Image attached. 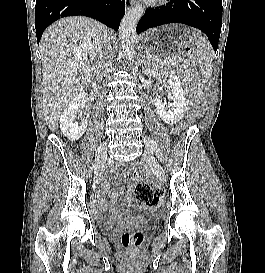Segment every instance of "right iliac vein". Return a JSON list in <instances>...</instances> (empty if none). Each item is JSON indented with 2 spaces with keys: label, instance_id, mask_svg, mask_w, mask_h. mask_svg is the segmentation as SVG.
<instances>
[{
  "label": "right iliac vein",
  "instance_id": "obj_1",
  "mask_svg": "<svg viewBox=\"0 0 265 273\" xmlns=\"http://www.w3.org/2000/svg\"><path fill=\"white\" fill-rule=\"evenodd\" d=\"M107 158V147L106 143H103L97 150L96 153V169H95V183H98L99 178L101 177L104 163Z\"/></svg>",
  "mask_w": 265,
  "mask_h": 273
}]
</instances>
